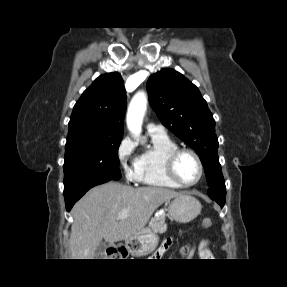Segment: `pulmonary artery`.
Listing matches in <instances>:
<instances>
[{"label":"pulmonary artery","instance_id":"e3ab8cb5","mask_svg":"<svg viewBox=\"0 0 287 287\" xmlns=\"http://www.w3.org/2000/svg\"><path fill=\"white\" fill-rule=\"evenodd\" d=\"M147 132L151 135H158V136H165L166 130L165 127L161 124H155V123H148L147 126Z\"/></svg>","mask_w":287,"mask_h":287}]
</instances>
